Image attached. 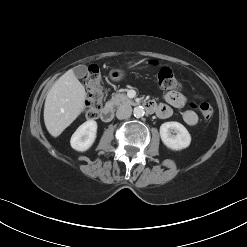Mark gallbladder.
<instances>
[{"label":"gallbladder","instance_id":"obj_1","mask_svg":"<svg viewBox=\"0 0 247 247\" xmlns=\"http://www.w3.org/2000/svg\"><path fill=\"white\" fill-rule=\"evenodd\" d=\"M73 72L76 77L82 78L87 73V67L85 65H78L73 69Z\"/></svg>","mask_w":247,"mask_h":247}]
</instances>
